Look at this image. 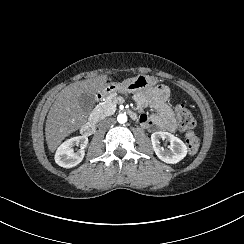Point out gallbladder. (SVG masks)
Listing matches in <instances>:
<instances>
[{"instance_id": "obj_1", "label": "gallbladder", "mask_w": 244, "mask_h": 244, "mask_svg": "<svg viewBox=\"0 0 244 244\" xmlns=\"http://www.w3.org/2000/svg\"><path fill=\"white\" fill-rule=\"evenodd\" d=\"M96 103V98L94 94L84 93L79 97V104L81 106V110L87 114H89Z\"/></svg>"}]
</instances>
